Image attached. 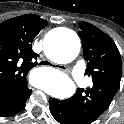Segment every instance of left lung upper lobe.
Returning a JSON list of instances; mask_svg holds the SVG:
<instances>
[{
	"label": "left lung upper lobe",
	"mask_w": 124,
	"mask_h": 124,
	"mask_svg": "<svg viewBox=\"0 0 124 124\" xmlns=\"http://www.w3.org/2000/svg\"><path fill=\"white\" fill-rule=\"evenodd\" d=\"M79 27L83 56L88 62L85 75L92 78L93 85L78 89L69 101L76 121L91 124L109 107L119 89L121 56L114 41L99 28L87 22H80Z\"/></svg>",
	"instance_id": "left-lung-upper-lobe-1"
}]
</instances>
